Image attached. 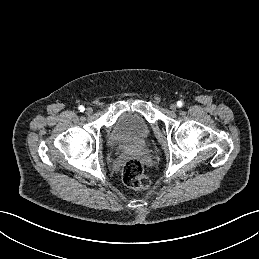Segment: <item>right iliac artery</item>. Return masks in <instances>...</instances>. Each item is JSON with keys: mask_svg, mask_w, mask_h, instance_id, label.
<instances>
[{"mask_svg": "<svg viewBox=\"0 0 259 259\" xmlns=\"http://www.w3.org/2000/svg\"><path fill=\"white\" fill-rule=\"evenodd\" d=\"M78 109H79L80 112H83L85 110L84 106H82V105L79 106Z\"/></svg>", "mask_w": 259, "mask_h": 259, "instance_id": "1", "label": "right iliac artery"}]
</instances>
